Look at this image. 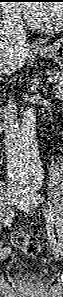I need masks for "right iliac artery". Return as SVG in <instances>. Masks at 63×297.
I'll list each match as a JSON object with an SVG mask.
<instances>
[{
    "mask_svg": "<svg viewBox=\"0 0 63 297\" xmlns=\"http://www.w3.org/2000/svg\"><path fill=\"white\" fill-rule=\"evenodd\" d=\"M23 193H24V192H23ZM10 197H11V196L8 197V200H7V202H6V204L9 206V207L7 208V216H6L5 219H4V224H5L6 226H10V225H11V223H12V219H11V217L13 216V212H12V210H10V205L12 204V203L10 202ZM3 250L8 251L9 253H10V251H11V249H10L9 247L4 248Z\"/></svg>",
    "mask_w": 63,
    "mask_h": 297,
    "instance_id": "right-iliac-artery-1",
    "label": "right iliac artery"
}]
</instances>
